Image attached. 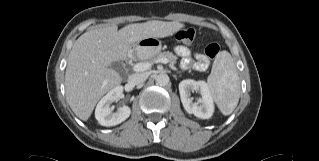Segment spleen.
<instances>
[{
	"mask_svg": "<svg viewBox=\"0 0 319 161\" xmlns=\"http://www.w3.org/2000/svg\"><path fill=\"white\" fill-rule=\"evenodd\" d=\"M207 86L223 115H230L240 98L238 71L231 54L221 51L216 55Z\"/></svg>",
	"mask_w": 319,
	"mask_h": 161,
	"instance_id": "spleen-1",
	"label": "spleen"
}]
</instances>
